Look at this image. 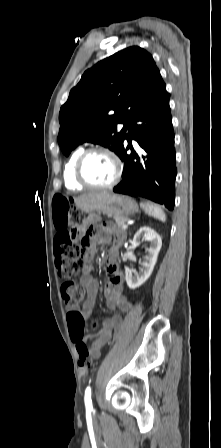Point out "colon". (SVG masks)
<instances>
[{
	"mask_svg": "<svg viewBox=\"0 0 221 448\" xmlns=\"http://www.w3.org/2000/svg\"><path fill=\"white\" fill-rule=\"evenodd\" d=\"M71 205L72 199L67 196L57 195L53 199L52 215L57 229L54 254L58 273L64 279L62 296L65 305L72 310L68 315V324L70 337L77 344L78 363L81 367H90L91 354L83 342L85 322L83 317L74 311L84 298L85 290L73 281V277L86 267L85 247L89 238L81 236L75 230L80 221V213Z\"/></svg>",
	"mask_w": 221,
	"mask_h": 448,
	"instance_id": "1",
	"label": "colon"
}]
</instances>
